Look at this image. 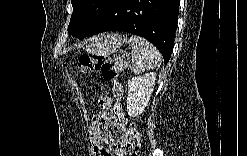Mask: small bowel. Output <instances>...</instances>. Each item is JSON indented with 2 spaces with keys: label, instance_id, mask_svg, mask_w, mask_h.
Masks as SVG:
<instances>
[{
  "label": "small bowel",
  "instance_id": "small-bowel-1",
  "mask_svg": "<svg viewBox=\"0 0 247 156\" xmlns=\"http://www.w3.org/2000/svg\"><path fill=\"white\" fill-rule=\"evenodd\" d=\"M122 98L123 88L120 85H115L111 97H105L98 101L101 112L93 116L89 127V135L95 155H127L131 137L121 104ZM112 128L120 130L118 141H114L112 138Z\"/></svg>",
  "mask_w": 247,
  "mask_h": 156
}]
</instances>
